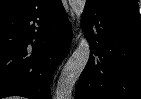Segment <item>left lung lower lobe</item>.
<instances>
[{"label":"left lung lower lobe","instance_id":"left-lung-lower-lobe-1","mask_svg":"<svg viewBox=\"0 0 141 99\" xmlns=\"http://www.w3.org/2000/svg\"><path fill=\"white\" fill-rule=\"evenodd\" d=\"M83 26L91 54L75 99H141L139 17L85 5Z\"/></svg>","mask_w":141,"mask_h":99}]
</instances>
